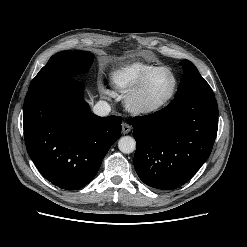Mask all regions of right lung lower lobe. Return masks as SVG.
Listing matches in <instances>:
<instances>
[{
    "label": "right lung lower lobe",
    "mask_w": 247,
    "mask_h": 247,
    "mask_svg": "<svg viewBox=\"0 0 247 247\" xmlns=\"http://www.w3.org/2000/svg\"><path fill=\"white\" fill-rule=\"evenodd\" d=\"M83 89L73 78L53 81L30 88L24 100L28 154L48 181L66 190L87 185L121 135L122 118L91 113Z\"/></svg>",
    "instance_id": "right-lung-lower-lobe-1"
}]
</instances>
